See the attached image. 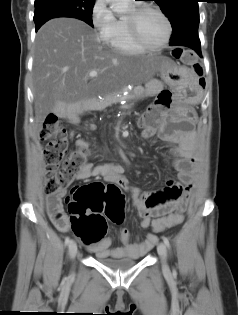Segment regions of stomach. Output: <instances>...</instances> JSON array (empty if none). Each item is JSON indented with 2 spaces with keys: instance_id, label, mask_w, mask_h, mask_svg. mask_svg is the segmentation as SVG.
Masks as SVG:
<instances>
[{
  "instance_id": "stomach-1",
  "label": "stomach",
  "mask_w": 238,
  "mask_h": 315,
  "mask_svg": "<svg viewBox=\"0 0 238 315\" xmlns=\"http://www.w3.org/2000/svg\"><path fill=\"white\" fill-rule=\"evenodd\" d=\"M162 57V56H161ZM164 65L158 70L160 80H165L166 84L172 87V91H177L181 98H185L188 105L178 102L175 105L176 116H182V122H195L199 116V109L193 106L200 102L202 96L200 87H194V75L192 72H179L176 65L169 58L162 57Z\"/></svg>"
}]
</instances>
